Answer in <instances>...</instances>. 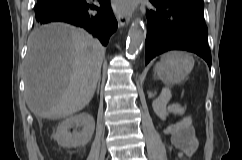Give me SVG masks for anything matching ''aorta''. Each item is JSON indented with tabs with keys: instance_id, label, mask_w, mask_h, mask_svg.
<instances>
[{
	"instance_id": "762f6f07",
	"label": "aorta",
	"mask_w": 242,
	"mask_h": 160,
	"mask_svg": "<svg viewBox=\"0 0 242 160\" xmlns=\"http://www.w3.org/2000/svg\"><path fill=\"white\" fill-rule=\"evenodd\" d=\"M145 35V24L140 18H137L128 32V49L130 54L135 55L142 49Z\"/></svg>"
}]
</instances>
